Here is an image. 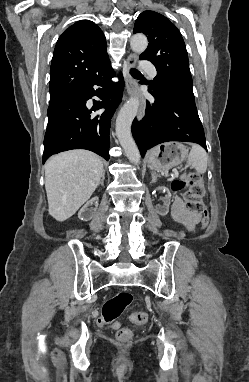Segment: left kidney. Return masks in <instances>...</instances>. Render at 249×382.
I'll use <instances>...</instances> for the list:
<instances>
[{"mask_svg":"<svg viewBox=\"0 0 249 382\" xmlns=\"http://www.w3.org/2000/svg\"><path fill=\"white\" fill-rule=\"evenodd\" d=\"M158 195L154 197V202L160 203L161 208H170V202H171V189H167L166 185H159L158 186Z\"/></svg>","mask_w":249,"mask_h":382,"instance_id":"left-kidney-1","label":"left kidney"}]
</instances>
